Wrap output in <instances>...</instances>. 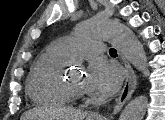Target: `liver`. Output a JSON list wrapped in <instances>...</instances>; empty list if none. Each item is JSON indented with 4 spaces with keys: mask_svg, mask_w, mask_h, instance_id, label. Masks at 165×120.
<instances>
[{
    "mask_svg": "<svg viewBox=\"0 0 165 120\" xmlns=\"http://www.w3.org/2000/svg\"><path fill=\"white\" fill-rule=\"evenodd\" d=\"M86 116L87 113L72 108L59 107L48 110L43 108H34L23 113L21 120H32L36 118H50L51 120L54 118L58 120H83Z\"/></svg>",
    "mask_w": 165,
    "mask_h": 120,
    "instance_id": "6515ba94",
    "label": "liver"
}]
</instances>
